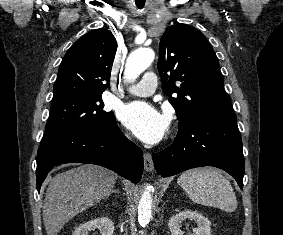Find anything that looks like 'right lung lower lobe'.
Segmentation results:
<instances>
[{
    "label": "right lung lower lobe",
    "instance_id": "1",
    "mask_svg": "<svg viewBox=\"0 0 283 235\" xmlns=\"http://www.w3.org/2000/svg\"><path fill=\"white\" fill-rule=\"evenodd\" d=\"M72 162L106 167L134 183L140 182L144 167L142 150L123 135L115 119L96 131L75 134L40 147L37 154V190L40 191L54 166Z\"/></svg>",
    "mask_w": 283,
    "mask_h": 235
}]
</instances>
